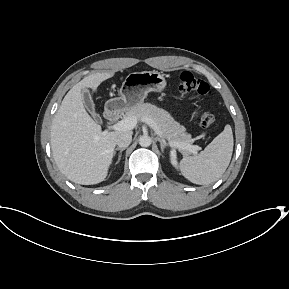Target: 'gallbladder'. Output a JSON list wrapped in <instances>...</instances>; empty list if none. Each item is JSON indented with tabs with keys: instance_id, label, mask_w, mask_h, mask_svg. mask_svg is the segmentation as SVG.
<instances>
[{
	"instance_id": "obj_1",
	"label": "gallbladder",
	"mask_w": 289,
	"mask_h": 289,
	"mask_svg": "<svg viewBox=\"0 0 289 289\" xmlns=\"http://www.w3.org/2000/svg\"><path fill=\"white\" fill-rule=\"evenodd\" d=\"M82 98H83V102H84L86 108L93 115L95 121L101 122L100 116L97 114H94V103L92 101V98H91L89 91L86 88L82 89Z\"/></svg>"
}]
</instances>
